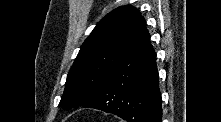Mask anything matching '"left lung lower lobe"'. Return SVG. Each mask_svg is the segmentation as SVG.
Listing matches in <instances>:
<instances>
[{
    "label": "left lung lower lobe",
    "instance_id": "1",
    "mask_svg": "<svg viewBox=\"0 0 221 122\" xmlns=\"http://www.w3.org/2000/svg\"><path fill=\"white\" fill-rule=\"evenodd\" d=\"M83 107L113 113L127 122H161L156 55L141 15L121 57Z\"/></svg>",
    "mask_w": 221,
    "mask_h": 122
}]
</instances>
